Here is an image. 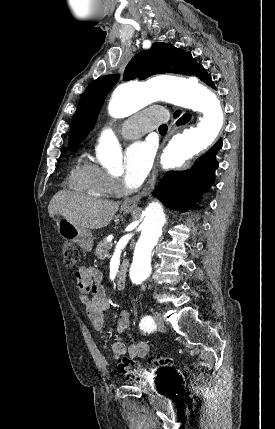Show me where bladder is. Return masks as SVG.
Instances as JSON below:
<instances>
[{"mask_svg": "<svg viewBox=\"0 0 275 429\" xmlns=\"http://www.w3.org/2000/svg\"><path fill=\"white\" fill-rule=\"evenodd\" d=\"M139 393H154L155 398H168L171 391L170 384H167L165 377L158 379V384H139Z\"/></svg>", "mask_w": 275, "mask_h": 429, "instance_id": "obj_1", "label": "bladder"}]
</instances>
